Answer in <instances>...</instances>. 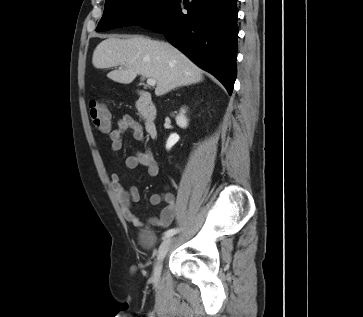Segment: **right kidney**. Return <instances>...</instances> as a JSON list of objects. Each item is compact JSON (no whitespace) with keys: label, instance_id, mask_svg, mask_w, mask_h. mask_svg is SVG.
<instances>
[{"label":"right kidney","instance_id":"obj_1","mask_svg":"<svg viewBox=\"0 0 363 317\" xmlns=\"http://www.w3.org/2000/svg\"><path fill=\"white\" fill-rule=\"evenodd\" d=\"M185 109L181 108L179 115L176 116V123L181 128H186L188 126V119L185 116Z\"/></svg>","mask_w":363,"mask_h":317}]
</instances>
